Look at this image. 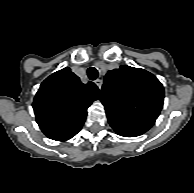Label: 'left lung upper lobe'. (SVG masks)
Listing matches in <instances>:
<instances>
[{"instance_id": "obj_1", "label": "left lung upper lobe", "mask_w": 194, "mask_h": 193, "mask_svg": "<svg viewBox=\"0 0 194 193\" xmlns=\"http://www.w3.org/2000/svg\"><path fill=\"white\" fill-rule=\"evenodd\" d=\"M163 100L162 84L144 69L122 65L104 78L101 102L107 114L151 128Z\"/></svg>"}]
</instances>
